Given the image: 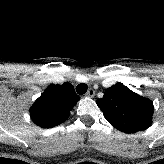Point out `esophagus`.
I'll use <instances>...</instances> for the list:
<instances>
[{
  "label": "esophagus",
  "instance_id": "1",
  "mask_svg": "<svg viewBox=\"0 0 164 164\" xmlns=\"http://www.w3.org/2000/svg\"><path fill=\"white\" fill-rule=\"evenodd\" d=\"M94 95H95V91L92 88H90L86 93L87 97H93Z\"/></svg>",
  "mask_w": 164,
  "mask_h": 164
}]
</instances>
